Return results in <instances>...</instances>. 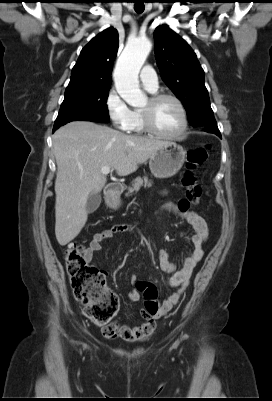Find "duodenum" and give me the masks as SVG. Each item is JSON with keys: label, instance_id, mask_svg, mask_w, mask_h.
I'll return each instance as SVG.
<instances>
[{"label": "duodenum", "instance_id": "410a0bca", "mask_svg": "<svg viewBox=\"0 0 272 401\" xmlns=\"http://www.w3.org/2000/svg\"><path fill=\"white\" fill-rule=\"evenodd\" d=\"M121 192H122V185H120V184L109 185L106 190L107 202L111 206L114 205L116 199L120 196Z\"/></svg>", "mask_w": 272, "mask_h": 401}]
</instances>
